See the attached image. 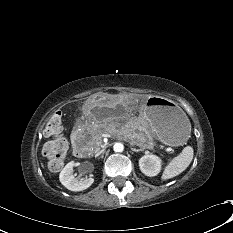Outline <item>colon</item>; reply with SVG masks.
Masks as SVG:
<instances>
[{"label": "colon", "instance_id": "5ec220e1", "mask_svg": "<svg viewBox=\"0 0 233 233\" xmlns=\"http://www.w3.org/2000/svg\"><path fill=\"white\" fill-rule=\"evenodd\" d=\"M61 131L62 117L60 113H55L47 122L44 133L50 140L43 147L44 155L53 169L61 168L66 157L67 143L61 137Z\"/></svg>", "mask_w": 233, "mask_h": 233}]
</instances>
